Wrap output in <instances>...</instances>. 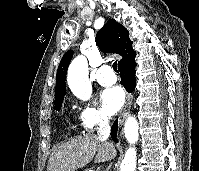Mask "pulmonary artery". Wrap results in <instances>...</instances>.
I'll use <instances>...</instances> for the list:
<instances>
[{"mask_svg":"<svg viewBox=\"0 0 199 171\" xmlns=\"http://www.w3.org/2000/svg\"><path fill=\"white\" fill-rule=\"evenodd\" d=\"M96 80L102 86H109L114 84L117 78L110 66L103 65L97 70Z\"/></svg>","mask_w":199,"mask_h":171,"instance_id":"obj_1","label":"pulmonary artery"}]
</instances>
